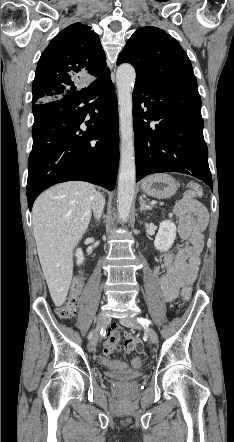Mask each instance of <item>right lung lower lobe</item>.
<instances>
[{"mask_svg":"<svg viewBox=\"0 0 234 442\" xmlns=\"http://www.w3.org/2000/svg\"><path fill=\"white\" fill-rule=\"evenodd\" d=\"M33 146L28 160L29 209L48 187L81 180L112 191L119 162L118 104L110 75L82 93L32 105ZM86 121V131L80 124Z\"/></svg>","mask_w":234,"mask_h":442,"instance_id":"98d812e1","label":"right lung lower lobe"}]
</instances>
